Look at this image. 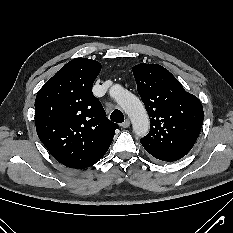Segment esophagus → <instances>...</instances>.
<instances>
[{
	"mask_svg": "<svg viewBox=\"0 0 233 233\" xmlns=\"http://www.w3.org/2000/svg\"><path fill=\"white\" fill-rule=\"evenodd\" d=\"M121 126L123 128H128L130 126V120L129 119H126L122 124Z\"/></svg>",
	"mask_w": 233,
	"mask_h": 233,
	"instance_id": "esophagus-1",
	"label": "esophagus"
}]
</instances>
